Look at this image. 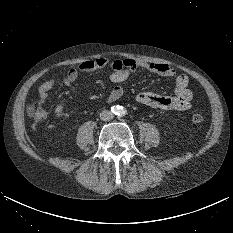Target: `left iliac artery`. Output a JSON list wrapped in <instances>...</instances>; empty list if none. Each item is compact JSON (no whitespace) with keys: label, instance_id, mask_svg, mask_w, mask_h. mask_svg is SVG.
<instances>
[{"label":"left iliac artery","instance_id":"44dca946","mask_svg":"<svg viewBox=\"0 0 233 233\" xmlns=\"http://www.w3.org/2000/svg\"><path fill=\"white\" fill-rule=\"evenodd\" d=\"M125 113H126V110L122 108V109L120 110V114H121V115H125Z\"/></svg>","mask_w":233,"mask_h":233}]
</instances>
